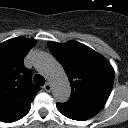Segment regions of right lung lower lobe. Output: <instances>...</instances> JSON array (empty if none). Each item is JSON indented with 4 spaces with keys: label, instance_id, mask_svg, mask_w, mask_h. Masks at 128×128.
I'll return each mask as SVG.
<instances>
[{
    "label": "right lung lower lobe",
    "instance_id": "right-lung-lower-lobe-1",
    "mask_svg": "<svg viewBox=\"0 0 128 128\" xmlns=\"http://www.w3.org/2000/svg\"><path fill=\"white\" fill-rule=\"evenodd\" d=\"M30 105L31 104L27 105L23 110L19 111L15 115L3 120V122L10 123V122H14V121H17V120L21 119L22 117H24L29 112Z\"/></svg>",
    "mask_w": 128,
    "mask_h": 128
}]
</instances>
